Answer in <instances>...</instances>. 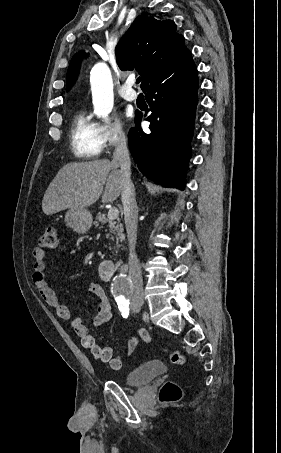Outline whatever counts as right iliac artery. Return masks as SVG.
Returning a JSON list of instances; mask_svg holds the SVG:
<instances>
[{
    "mask_svg": "<svg viewBox=\"0 0 281 453\" xmlns=\"http://www.w3.org/2000/svg\"><path fill=\"white\" fill-rule=\"evenodd\" d=\"M119 310L124 318H127L129 315V305L128 304H120L118 305Z\"/></svg>",
    "mask_w": 281,
    "mask_h": 453,
    "instance_id": "1",
    "label": "right iliac artery"
}]
</instances>
